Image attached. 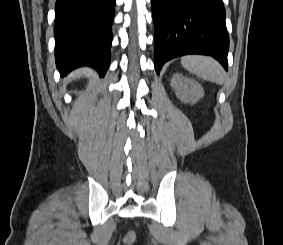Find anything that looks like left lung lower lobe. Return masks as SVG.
I'll return each instance as SVG.
<instances>
[{"instance_id":"1","label":"left lung lower lobe","mask_w":283,"mask_h":245,"mask_svg":"<svg viewBox=\"0 0 283 245\" xmlns=\"http://www.w3.org/2000/svg\"><path fill=\"white\" fill-rule=\"evenodd\" d=\"M155 26L154 66L186 54L210 55L225 70L229 36L222 0H151Z\"/></svg>"}]
</instances>
